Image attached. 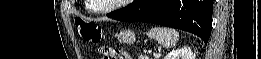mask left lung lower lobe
<instances>
[{
    "label": "left lung lower lobe",
    "instance_id": "1",
    "mask_svg": "<svg viewBox=\"0 0 261 59\" xmlns=\"http://www.w3.org/2000/svg\"><path fill=\"white\" fill-rule=\"evenodd\" d=\"M213 0H135L108 17L127 22H150L191 32L205 44L211 34Z\"/></svg>",
    "mask_w": 261,
    "mask_h": 59
}]
</instances>
